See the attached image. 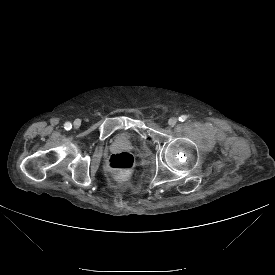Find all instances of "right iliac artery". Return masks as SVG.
I'll use <instances>...</instances> for the list:
<instances>
[{
  "mask_svg": "<svg viewBox=\"0 0 275 275\" xmlns=\"http://www.w3.org/2000/svg\"><path fill=\"white\" fill-rule=\"evenodd\" d=\"M64 128H65L66 130H70V129L72 128V124H71L70 122H66V123L64 124Z\"/></svg>",
  "mask_w": 275,
  "mask_h": 275,
  "instance_id": "right-iliac-artery-1",
  "label": "right iliac artery"
}]
</instances>
